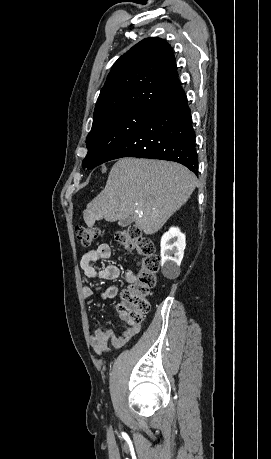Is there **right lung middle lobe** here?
Returning a JSON list of instances; mask_svg holds the SVG:
<instances>
[{"label": "right lung middle lobe", "mask_w": 271, "mask_h": 459, "mask_svg": "<svg viewBox=\"0 0 271 459\" xmlns=\"http://www.w3.org/2000/svg\"><path fill=\"white\" fill-rule=\"evenodd\" d=\"M154 113L149 108L135 107L93 119L86 138L88 153L82 162L83 168L92 169L106 162L109 155Z\"/></svg>", "instance_id": "dd1d6c3e"}]
</instances>
